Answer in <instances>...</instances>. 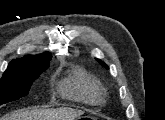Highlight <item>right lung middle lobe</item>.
<instances>
[{
  "mask_svg": "<svg viewBox=\"0 0 165 120\" xmlns=\"http://www.w3.org/2000/svg\"><path fill=\"white\" fill-rule=\"evenodd\" d=\"M49 64H21L8 67L0 80V105L28 94L32 82Z\"/></svg>",
  "mask_w": 165,
  "mask_h": 120,
  "instance_id": "dd1d6c3e",
  "label": "right lung middle lobe"
}]
</instances>
